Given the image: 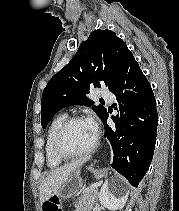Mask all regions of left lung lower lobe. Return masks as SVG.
<instances>
[{"label":"left lung lower lobe","instance_id":"1","mask_svg":"<svg viewBox=\"0 0 179 211\" xmlns=\"http://www.w3.org/2000/svg\"><path fill=\"white\" fill-rule=\"evenodd\" d=\"M119 105L121 117H112L115 127L103 117L104 136L113 147L111 167L134 187L139 185L152 161L156 143L158 114L155 97L133 54H129L110 90ZM122 112H126L122 116Z\"/></svg>","mask_w":179,"mask_h":211}]
</instances>
